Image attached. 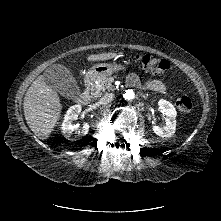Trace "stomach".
Listing matches in <instances>:
<instances>
[{
	"instance_id": "stomach-1",
	"label": "stomach",
	"mask_w": 221,
	"mask_h": 221,
	"mask_svg": "<svg viewBox=\"0 0 221 221\" xmlns=\"http://www.w3.org/2000/svg\"><path fill=\"white\" fill-rule=\"evenodd\" d=\"M125 69V66L122 64H107L101 63L93 66L87 73V75L92 79H97L101 77L108 76L114 72Z\"/></svg>"
}]
</instances>
